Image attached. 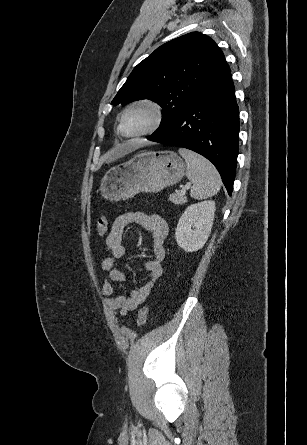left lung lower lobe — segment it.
I'll list each match as a JSON object with an SVG mask.
<instances>
[{
    "mask_svg": "<svg viewBox=\"0 0 307 445\" xmlns=\"http://www.w3.org/2000/svg\"><path fill=\"white\" fill-rule=\"evenodd\" d=\"M239 110L231 72L148 140L193 150L210 160L232 195L238 155Z\"/></svg>",
    "mask_w": 307,
    "mask_h": 445,
    "instance_id": "0a47b994",
    "label": "left lung lower lobe"
}]
</instances>
